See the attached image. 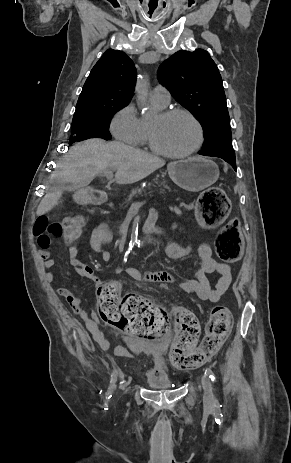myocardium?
<instances>
[{"label":"myocardium","mask_w":291,"mask_h":463,"mask_svg":"<svg viewBox=\"0 0 291 463\" xmlns=\"http://www.w3.org/2000/svg\"><path fill=\"white\" fill-rule=\"evenodd\" d=\"M161 115L165 118H171L177 115H184L188 117L195 124L197 128L198 139L193 147H191L190 149L184 152H179V153L171 152V151L165 150L164 148L158 145L156 141L154 128L152 127L151 124H149L148 142L154 152L162 156L168 157V158L180 159V158L189 157L200 150V148L202 147L204 143V128L200 120L191 111L184 109V108H171V109L164 110Z\"/></svg>","instance_id":"1"}]
</instances>
